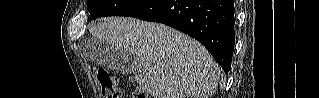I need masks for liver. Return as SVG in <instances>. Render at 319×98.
I'll return each mask as SVG.
<instances>
[{"instance_id": "1", "label": "liver", "mask_w": 319, "mask_h": 98, "mask_svg": "<svg viewBox=\"0 0 319 98\" xmlns=\"http://www.w3.org/2000/svg\"><path fill=\"white\" fill-rule=\"evenodd\" d=\"M90 34L133 54L139 62L134 79L154 98H211L216 91L220 68L211 54L169 26L115 17L92 26Z\"/></svg>"}]
</instances>
